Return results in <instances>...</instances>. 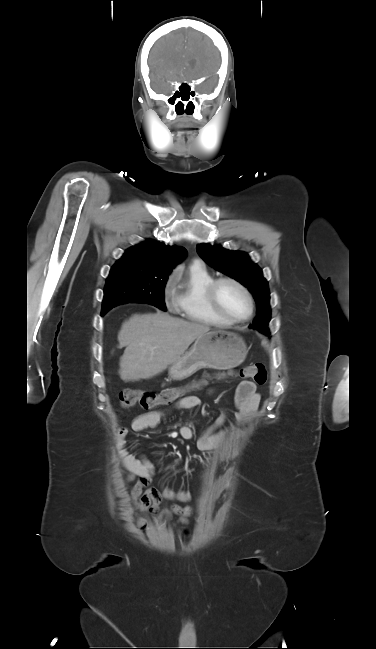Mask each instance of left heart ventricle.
<instances>
[{
  "instance_id": "obj_1",
  "label": "left heart ventricle",
  "mask_w": 376,
  "mask_h": 649,
  "mask_svg": "<svg viewBox=\"0 0 376 649\" xmlns=\"http://www.w3.org/2000/svg\"><path fill=\"white\" fill-rule=\"evenodd\" d=\"M219 298L224 309L234 318H244L249 312L245 295L233 284L224 283L219 287Z\"/></svg>"
}]
</instances>
